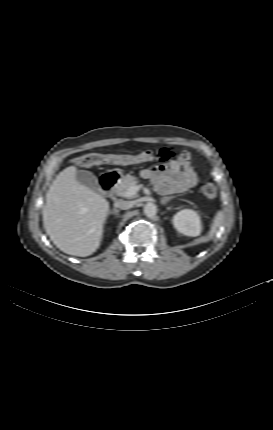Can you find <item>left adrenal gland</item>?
I'll list each match as a JSON object with an SVG mask.
<instances>
[{"label":"left adrenal gland","mask_w":273,"mask_h":430,"mask_svg":"<svg viewBox=\"0 0 273 430\" xmlns=\"http://www.w3.org/2000/svg\"><path fill=\"white\" fill-rule=\"evenodd\" d=\"M173 197H164V198H162L161 199V204H163V205H165V204H167V202L169 201V200H171Z\"/></svg>","instance_id":"1"}]
</instances>
